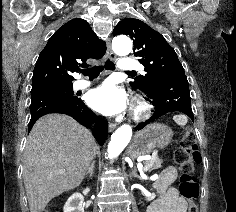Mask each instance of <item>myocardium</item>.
<instances>
[{
	"mask_svg": "<svg viewBox=\"0 0 236 212\" xmlns=\"http://www.w3.org/2000/svg\"><path fill=\"white\" fill-rule=\"evenodd\" d=\"M151 105L143 100V99H137L132 107V118L136 122H140L145 120L150 112H151Z\"/></svg>",
	"mask_w": 236,
	"mask_h": 212,
	"instance_id": "1",
	"label": "myocardium"
}]
</instances>
